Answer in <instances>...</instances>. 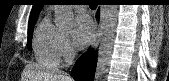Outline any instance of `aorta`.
Masks as SVG:
<instances>
[{
	"instance_id": "obj_1",
	"label": "aorta",
	"mask_w": 169,
	"mask_h": 81,
	"mask_svg": "<svg viewBox=\"0 0 169 81\" xmlns=\"http://www.w3.org/2000/svg\"><path fill=\"white\" fill-rule=\"evenodd\" d=\"M55 23L63 31H70L73 27L74 15L69 5H55ZM102 24L98 49V60L95 81H106L115 38L118 17L117 5H103L101 9Z\"/></svg>"
}]
</instances>
